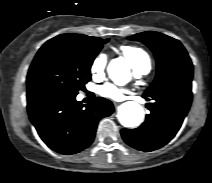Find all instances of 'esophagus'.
<instances>
[{
  "label": "esophagus",
  "instance_id": "1",
  "mask_svg": "<svg viewBox=\"0 0 212 183\" xmlns=\"http://www.w3.org/2000/svg\"><path fill=\"white\" fill-rule=\"evenodd\" d=\"M115 107H118L119 103L118 102H113Z\"/></svg>",
  "mask_w": 212,
  "mask_h": 183
}]
</instances>
